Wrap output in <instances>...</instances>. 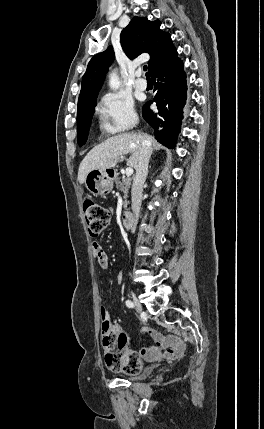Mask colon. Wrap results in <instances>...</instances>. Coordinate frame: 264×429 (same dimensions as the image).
I'll return each mask as SVG.
<instances>
[{
	"label": "colon",
	"instance_id": "5ec220e1",
	"mask_svg": "<svg viewBox=\"0 0 264 429\" xmlns=\"http://www.w3.org/2000/svg\"><path fill=\"white\" fill-rule=\"evenodd\" d=\"M83 209L90 235H99L109 224V210L91 199L84 201ZM101 316L102 346L108 367L127 374L138 373L141 362L137 355L127 353V336L118 325L111 323L103 307H101Z\"/></svg>",
	"mask_w": 264,
	"mask_h": 429
}]
</instances>
